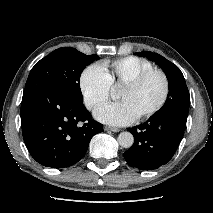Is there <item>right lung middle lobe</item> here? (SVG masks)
<instances>
[{
    "mask_svg": "<svg viewBox=\"0 0 213 213\" xmlns=\"http://www.w3.org/2000/svg\"><path fill=\"white\" fill-rule=\"evenodd\" d=\"M97 55H85L75 48H59L38 61L26 85L45 84L55 88L76 104H83L79 79L82 70Z\"/></svg>",
    "mask_w": 213,
    "mask_h": 213,
    "instance_id": "dd1d6c3e",
    "label": "right lung middle lobe"
}]
</instances>
